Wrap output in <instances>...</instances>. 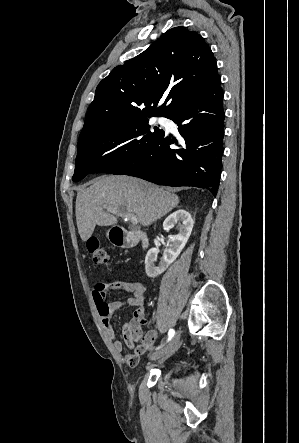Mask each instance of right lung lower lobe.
Instances as JSON below:
<instances>
[{
  "label": "right lung lower lobe",
  "instance_id": "obj_1",
  "mask_svg": "<svg viewBox=\"0 0 299 443\" xmlns=\"http://www.w3.org/2000/svg\"><path fill=\"white\" fill-rule=\"evenodd\" d=\"M165 117L179 126L182 138L166 137L163 132L142 157L113 174L134 176L158 185L206 188L216 196L224 135L220 76Z\"/></svg>",
  "mask_w": 299,
  "mask_h": 443
}]
</instances>
